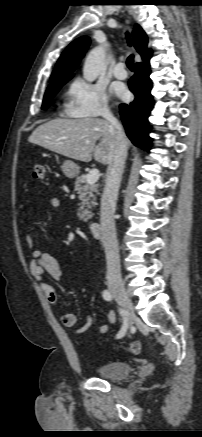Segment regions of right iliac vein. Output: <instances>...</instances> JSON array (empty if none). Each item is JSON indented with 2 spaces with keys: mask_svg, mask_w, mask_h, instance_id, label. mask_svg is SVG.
<instances>
[{
  "mask_svg": "<svg viewBox=\"0 0 202 437\" xmlns=\"http://www.w3.org/2000/svg\"><path fill=\"white\" fill-rule=\"evenodd\" d=\"M109 288L116 298L117 302L125 309L129 322H131L135 316L133 303L125 288L122 285L116 283H110Z\"/></svg>",
  "mask_w": 202,
  "mask_h": 437,
  "instance_id": "obj_1",
  "label": "right iliac vein"
}]
</instances>
